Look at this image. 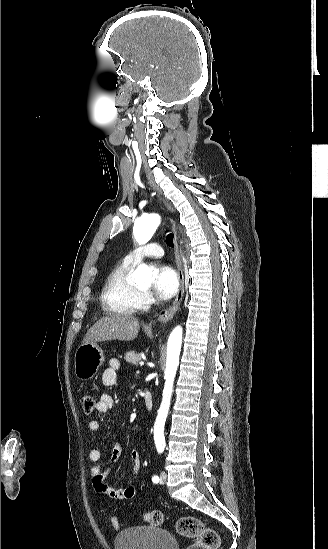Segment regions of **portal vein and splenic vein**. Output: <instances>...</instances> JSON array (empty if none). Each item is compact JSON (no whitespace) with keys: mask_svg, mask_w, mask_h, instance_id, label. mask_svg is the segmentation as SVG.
Segmentation results:
<instances>
[{"mask_svg":"<svg viewBox=\"0 0 328 549\" xmlns=\"http://www.w3.org/2000/svg\"><path fill=\"white\" fill-rule=\"evenodd\" d=\"M139 365H141V367H142V365H143V361H139Z\"/></svg>","mask_w":328,"mask_h":549,"instance_id":"portal-vein-and-splenic-vein-1","label":"portal vein and splenic vein"}]
</instances>
